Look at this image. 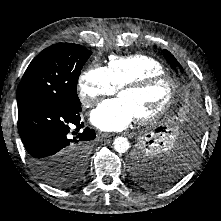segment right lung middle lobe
Segmentation results:
<instances>
[{
    "label": "right lung middle lobe",
    "mask_w": 221,
    "mask_h": 221,
    "mask_svg": "<svg viewBox=\"0 0 221 221\" xmlns=\"http://www.w3.org/2000/svg\"><path fill=\"white\" fill-rule=\"evenodd\" d=\"M90 55L89 50L72 43H58L44 49L32 60L18 86V109L39 101L80 107L77 81ZM90 142L72 148L61 165L49 166L38 175L55 187L74 185L84 175Z\"/></svg>",
    "instance_id": "1"
}]
</instances>
